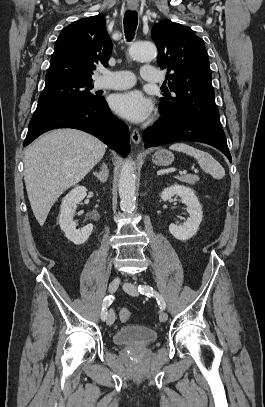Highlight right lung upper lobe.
I'll use <instances>...</instances> for the list:
<instances>
[{"label":"right lung upper lobe","mask_w":265,"mask_h":407,"mask_svg":"<svg viewBox=\"0 0 265 407\" xmlns=\"http://www.w3.org/2000/svg\"><path fill=\"white\" fill-rule=\"evenodd\" d=\"M111 52L102 14L75 21L61 31L56 41L46 81H92L95 64L108 66Z\"/></svg>","instance_id":"cb5924a9"}]
</instances>
